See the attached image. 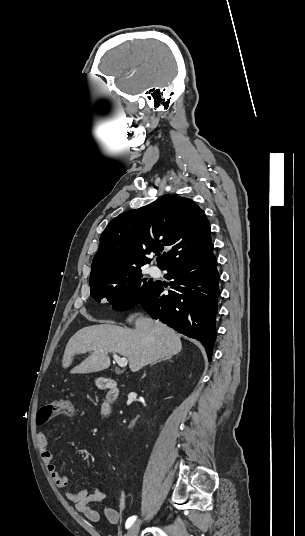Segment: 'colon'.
I'll return each instance as SVG.
<instances>
[{
    "instance_id": "obj_1",
    "label": "colon",
    "mask_w": 305,
    "mask_h": 536,
    "mask_svg": "<svg viewBox=\"0 0 305 536\" xmlns=\"http://www.w3.org/2000/svg\"><path fill=\"white\" fill-rule=\"evenodd\" d=\"M73 413L72 404L68 400H57L52 404L46 406L42 411H38L35 423L37 426L46 424L47 422H53L54 415H71Z\"/></svg>"
}]
</instances>
